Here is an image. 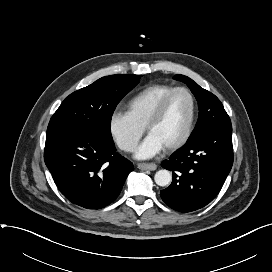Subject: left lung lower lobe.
<instances>
[{
  "instance_id": "1",
  "label": "left lung lower lobe",
  "mask_w": 272,
  "mask_h": 272,
  "mask_svg": "<svg viewBox=\"0 0 272 272\" xmlns=\"http://www.w3.org/2000/svg\"><path fill=\"white\" fill-rule=\"evenodd\" d=\"M233 164L232 126L224 125L189 137L162 166L172 171L163 201L180 212L198 210L220 192Z\"/></svg>"
}]
</instances>
